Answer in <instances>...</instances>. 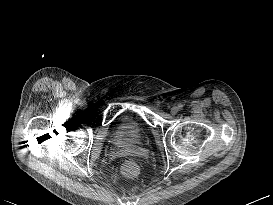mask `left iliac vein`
Here are the masks:
<instances>
[{
  "label": "left iliac vein",
  "mask_w": 273,
  "mask_h": 205,
  "mask_svg": "<svg viewBox=\"0 0 273 205\" xmlns=\"http://www.w3.org/2000/svg\"><path fill=\"white\" fill-rule=\"evenodd\" d=\"M178 111H179V109H178V107H176V106H174V107L171 108V114H172V115L177 114Z\"/></svg>",
  "instance_id": "1"
}]
</instances>
